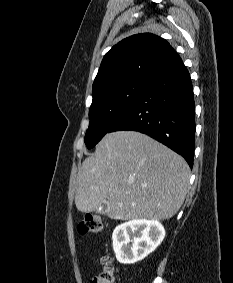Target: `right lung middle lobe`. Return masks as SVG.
Here are the masks:
<instances>
[{
	"instance_id": "dd1d6c3e",
	"label": "right lung middle lobe",
	"mask_w": 233,
	"mask_h": 283,
	"mask_svg": "<svg viewBox=\"0 0 233 283\" xmlns=\"http://www.w3.org/2000/svg\"><path fill=\"white\" fill-rule=\"evenodd\" d=\"M150 82L131 81L102 90L93 97L89 109L90 123L85 135L88 149L94 147L112 126L130 109Z\"/></svg>"
}]
</instances>
